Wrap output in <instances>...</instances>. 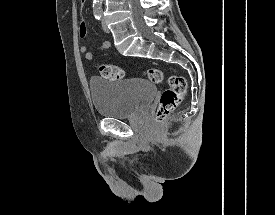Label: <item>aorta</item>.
Wrapping results in <instances>:
<instances>
[{
  "mask_svg": "<svg viewBox=\"0 0 275 215\" xmlns=\"http://www.w3.org/2000/svg\"><path fill=\"white\" fill-rule=\"evenodd\" d=\"M93 2L98 5L100 4L101 0H93Z\"/></svg>",
  "mask_w": 275,
  "mask_h": 215,
  "instance_id": "1",
  "label": "aorta"
}]
</instances>
